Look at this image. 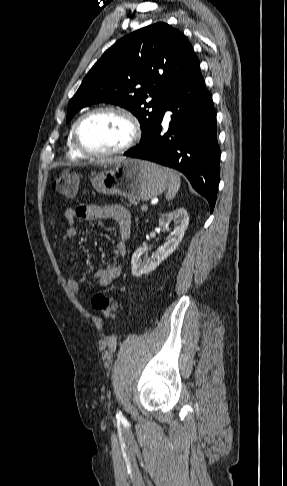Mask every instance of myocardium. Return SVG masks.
<instances>
[{"label":"myocardium","mask_w":287,"mask_h":486,"mask_svg":"<svg viewBox=\"0 0 287 486\" xmlns=\"http://www.w3.org/2000/svg\"><path fill=\"white\" fill-rule=\"evenodd\" d=\"M102 113H115L121 115L123 118L127 120L130 126V137L127 140V142L110 151H105V152H95L87 149L81 141L80 138V131L83 126V124L91 117L102 114ZM141 137V127L138 119L134 116L133 113H131L129 110L120 107V106H114V105H109V106H103L99 108H95L84 115H82L78 121L75 123L74 129H73V143L75 148L79 153H81L83 156L88 157V158H96V159H103V158H109L113 157L116 155L123 154L127 151H129L131 148H133L138 141L140 140Z\"/></svg>","instance_id":"obj_1"}]
</instances>
